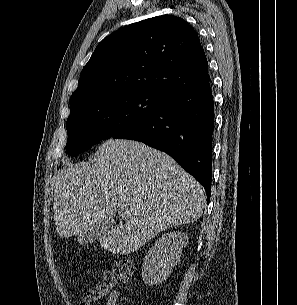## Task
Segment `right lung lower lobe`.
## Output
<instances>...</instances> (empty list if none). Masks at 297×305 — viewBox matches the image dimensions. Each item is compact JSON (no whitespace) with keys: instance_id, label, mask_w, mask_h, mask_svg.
I'll use <instances>...</instances> for the list:
<instances>
[{"instance_id":"right-lung-lower-lobe-1","label":"right lung lower lobe","mask_w":297,"mask_h":305,"mask_svg":"<svg viewBox=\"0 0 297 305\" xmlns=\"http://www.w3.org/2000/svg\"><path fill=\"white\" fill-rule=\"evenodd\" d=\"M213 122L208 81L173 93L153 113L113 138L140 141L166 152L203 185L209 201Z\"/></svg>"}]
</instances>
